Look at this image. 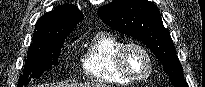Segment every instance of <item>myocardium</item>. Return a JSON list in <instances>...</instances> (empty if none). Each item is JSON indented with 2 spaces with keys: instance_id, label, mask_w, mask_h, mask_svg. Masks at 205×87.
<instances>
[{
  "instance_id": "myocardium-1",
  "label": "myocardium",
  "mask_w": 205,
  "mask_h": 87,
  "mask_svg": "<svg viewBox=\"0 0 205 87\" xmlns=\"http://www.w3.org/2000/svg\"><path fill=\"white\" fill-rule=\"evenodd\" d=\"M130 48H136L139 49L141 52H143L145 54V56L147 57V60L149 62V69L148 72L142 76V77H136L134 75H132L125 67L124 65V55L126 53V51ZM114 64L116 66L117 71L127 80H129L130 82H134V83H138V82H143L146 81L151 74L154 71V59L153 56L151 54V52L149 51V49L137 42H126L123 43L116 51L115 56H114Z\"/></svg>"
}]
</instances>
